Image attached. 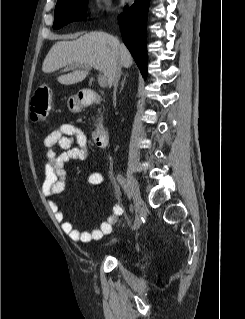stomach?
<instances>
[{
	"mask_svg": "<svg viewBox=\"0 0 245 319\" xmlns=\"http://www.w3.org/2000/svg\"><path fill=\"white\" fill-rule=\"evenodd\" d=\"M67 107L70 112L78 113L83 109L84 105L77 95H73L67 100Z\"/></svg>",
	"mask_w": 245,
	"mask_h": 319,
	"instance_id": "stomach-1",
	"label": "stomach"
}]
</instances>
